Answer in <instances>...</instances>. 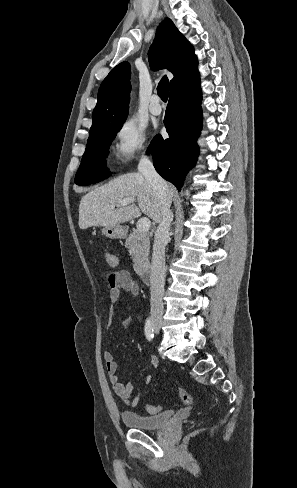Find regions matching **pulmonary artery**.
<instances>
[{
	"mask_svg": "<svg viewBox=\"0 0 297 488\" xmlns=\"http://www.w3.org/2000/svg\"><path fill=\"white\" fill-rule=\"evenodd\" d=\"M151 114L153 115H160L162 113V107L159 104V97L157 95H153L151 98V104L149 107Z\"/></svg>",
	"mask_w": 297,
	"mask_h": 488,
	"instance_id": "1",
	"label": "pulmonary artery"
}]
</instances>
